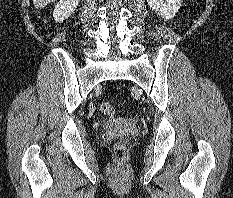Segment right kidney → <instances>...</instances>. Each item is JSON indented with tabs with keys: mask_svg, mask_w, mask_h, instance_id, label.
<instances>
[{
	"mask_svg": "<svg viewBox=\"0 0 233 198\" xmlns=\"http://www.w3.org/2000/svg\"><path fill=\"white\" fill-rule=\"evenodd\" d=\"M80 0H60L54 8L55 21H63L71 16L77 8Z\"/></svg>",
	"mask_w": 233,
	"mask_h": 198,
	"instance_id": "obj_1",
	"label": "right kidney"
}]
</instances>
